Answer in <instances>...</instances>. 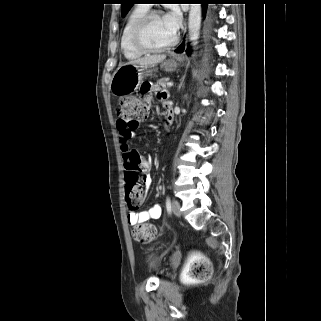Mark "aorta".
Returning a JSON list of instances; mask_svg holds the SVG:
<instances>
[{
    "label": "aorta",
    "mask_w": 321,
    "mask_h": 321,
    "mask_svg": "<svg viewBox=\"0 0 321 321\" xmlns=\"http://www.w3.org/2000/svg\"><path fill=\"white\" fill-rule=\"evenodd\" d=\"M202 9L201 4H190L189 11V37L192 42L191 45L195 46L199 37V30L201 26Z\"/></svg>",
    "instance_id": "1"
}]
</instances>
